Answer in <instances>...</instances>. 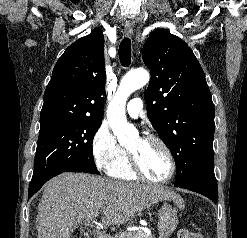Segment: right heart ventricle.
I'll return each mask as SVG.
<instances>
[{
    "label": "right heart ventricle",
    "instance_id": "right-heart-ventricle-1",
    "mask_svg": "<svg viewBox=\"0 0 247 238\" xmlns=\"http://www.w3.org/2000/svg\"><path fill=\"white\" fill-rule=\"evenodd\" d=\"M108 173L111 177L120 180L132 181L137 178L132 170L128 154Z\"/></svg>",
    "mask_w": 247,
    "mask_h": 238
}]
</instances>
